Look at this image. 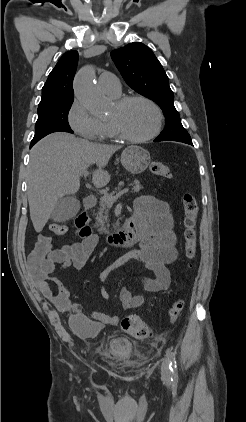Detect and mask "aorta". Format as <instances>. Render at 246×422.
<instances>
[{
	"label": "aorta",
	"mask_w": 246,
	"mask_h": 422,
	"mask_svg": "<svg viewBox=\"0 0 246 422\" xmlns=\"http://www.w3.org/2000/svg\"><path fill=\"white\" fill-rule=\"evenodd\" d=\"M73 88L75 97L92 115L98 116L106 112L107 107L95 84V71L92 66H86L76 74Z\"/></svg>",
	"instance_id": "1"
}]
</instances>
